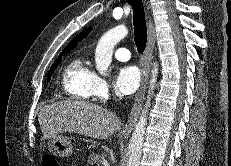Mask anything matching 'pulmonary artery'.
<instances>
[{"label": "pulmonary artery", "mask_w": 231, "mask_h": 166, "mask_svg": "<svg viewBox=\"0 0 231 166\" xmlns=\"http://www.w3.org/2000/svg\"><path fill=\"white\" fill-rule=\"evenodd\" d=\"M115 57L120 61H127L130 59V52L127 48L121 47L115 50Z\"/></svg>", "instance_id": "pulmonary-artery-1"}]
</instances>
